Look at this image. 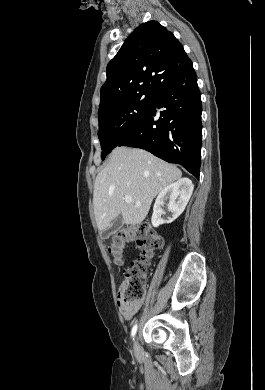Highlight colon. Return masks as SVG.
Masks as SVG:
<instances>
[{
    "label": "colon",
    "mask_w": 265,
    "mask_h": 390,
    "mask_svg": "<svg viewBox=\"0 0 265 390\" xmlns=\"http://www.w3.org/2000/svg\"><path fill=\"white\" fill-rule=\"evenodd\" d=\"M128 243H135L142 253L125 271L119 297L125 304H134L145 296L146 269L154 254L161 248L162 238L147 223L120 230L109 247V252L117 264L121 262L123 249Z\"/></svg>",
    "instance_id": "colon-1"
}]
</instances>
